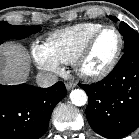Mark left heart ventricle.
<instances>
[{
  "label": "left heart ventricle",
  "instance_id": "b2bd125f",
  "mask_svg": "<svg viewBox=\"0 0 139 139\" xmlns=\"http://www.w3.org/2000/svg\"><path fill=\"white\" fill-rule=\"evenodd\" d=\"M118 46V37L113 30H106L96 39L93 48L84 62V69L97 72L103 69L113 58Z\"/></svg>",
  "mask_w": 139,
  "mask_h": 139
}]
</instances>
